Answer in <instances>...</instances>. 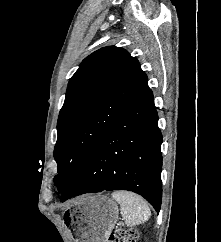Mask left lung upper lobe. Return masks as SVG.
<instances>
[{
  "label": "left lung upper lobe",
  "mask_w": 221,
  "mask_h": 242,
  "mask_svg": "<svg viewBox=\"0 0 221 242\" xmlns=\"http://www.w3.org/2000/svg\"><path fill=\"white\" fill-rule=\"evenodd\" d=\"M148 89L138 60L122 48L104 47L83 60L57 121L54 184L60 192L77 181L102 134Z\"/></svg>",
  "instance_id": "5c2ea615"
}]
</instances>
